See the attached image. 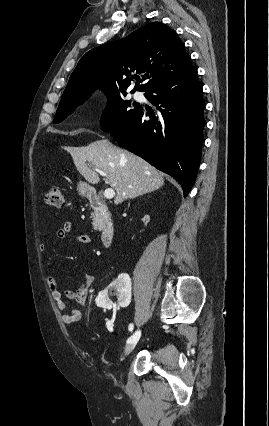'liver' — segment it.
Wrapping results in <instances>:
<instances>
[{
  "label": "liver",
  "mask_w": 269,
  "mask_h": 426,
  "mask_svg": "<svg viewBox=\"0 0 269 426\" xmlns=\"http://www.w3.org/2000/svg\"><path fill=\"white\" fill-rule=\"evenodd\" d=\"M69 152L77 170L89 183L97 184L100 180L94 168L106 174L108 183L116 191V205L164 185L163 173L106 139L70 148Z\"/></svg>",
  "instance_id": "6515ba94"
}]
</instances>
